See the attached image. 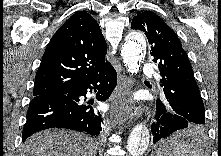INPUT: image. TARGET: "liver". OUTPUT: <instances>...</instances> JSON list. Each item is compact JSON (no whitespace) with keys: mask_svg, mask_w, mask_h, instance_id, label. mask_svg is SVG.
Instances as JSON below:
<instances>
[{"mask_svg":"<svg viewBox=\"0 0 221 156\" xmlns=\"http://www.w3.org/2000/svg\"><path fill=\"white\" fill-rule=\"evenodd\" d=\"M94 141L74 131L49 129L35 133L20 148V156H96Z\"/></svg>","mask_w":221,"mask_h":156,"instance_id":"obj_1","label":"liver"}]
</instances>
